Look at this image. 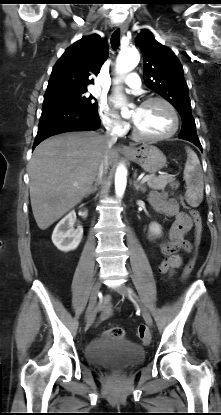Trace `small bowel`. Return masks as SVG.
I'll use <instances>...</instances> for the list:
<instances>
[{
  "label": "small bowel",
  "mask_w": 221,
  "mask_h": 415,
  "mask_svg": "<svg viewBox=\"0 0 221 415\" xmlns=\"http://www.w3.org/2000/svg\"><path fill=\"white\" fill-rule=\"evenodd\" d=\"M149 201L156 211L175 217L165 240L160 245L165 259L160 263L159 270L162 273L171 274L183 265L181 252L192 250L191 242L186 239V234L192 227V219L187 213L180 210L176 199L169 198L165 193H153L150 195ZM100 311V320H106L113 314L109 298L102 301Z\"/></svg>",
  "instance_id": "c3829d8e"
}]
</instances>
